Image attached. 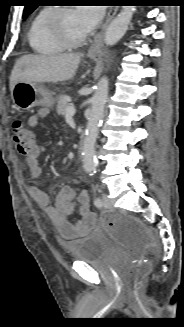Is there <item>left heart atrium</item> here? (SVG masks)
<instances>
[{"instance_id": "1", "label": "left heart atrium", "mask_w": 184, "mask_h": 327, "mask_svg": "<svg viewBox=\"0 0 184 327\" xmlns=\"http://www.w3.org/2000/svg\"><path fill=\"white\" fill-rule=\"evenodd\" d=\"M86 32L95 29L101 22L103 11L99 7L84 6L74 9Z\"/></svg>"}]
</instances>
